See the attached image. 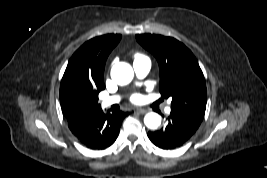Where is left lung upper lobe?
<instances>
[{"mask_svg": "<svg viewBox=\"0 0 267 178\" xmlns=\"http://www.w3.org/2000/svg\"><path fill=\"white\" fill-rule=\"evenodd\" d=\"M136 39L158 61L159 91L163 97L172 99L171 112L199 127L205 115L207 90L195 56L183 43L171 37L140 34Z\"/></svg>", "mask_w": 267, "mask_h": 178, "instance_id": "5c2ea615", "label": "left lung upper lobe"}]
</instances>
